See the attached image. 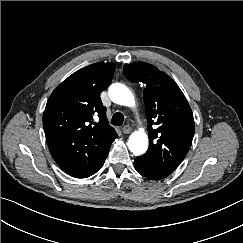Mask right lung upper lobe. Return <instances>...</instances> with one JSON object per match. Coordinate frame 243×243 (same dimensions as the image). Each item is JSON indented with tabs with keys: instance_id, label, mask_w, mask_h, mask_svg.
<instances>
[{
	"instance_id": "right-lung-upper-lobe-1",
	"label": "right lung upper lobe",
	"mask_w": 243,
	"mask_h": 243,
	"mask_svg": "<svg viewBox=\"0 0 243 243\" xmlns=\"http://www.w3.org/2000/svg\"><path fill=\"white\" fill-rule=\"evenodd\" d=\"M114 63H95L65 79L49 97L43 127L50 153L75 178L93 172L117 137L108 124L100 93L111 82ZM99 121L94 122L93 117Z\"/></svg>"
}]
</instances>
